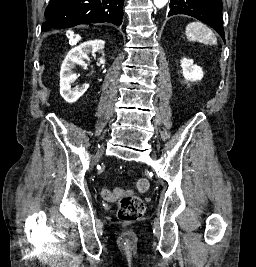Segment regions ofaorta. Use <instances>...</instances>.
<instances>
[{
	"label": "aorta",
	"mask_w": 256,
	"mask_h": 267,
	"mask_svg": "<svg viewBox=\"0 0 256 267\" xmlns=\"http://www.w3.org/2000/svg\"><path fill=\"white\" fill-rule=\"evenodd\" d=\"M167 2L168 0H153L154 6H156V8H159V10H161V8H164Z\"/></svg>",
	"instance_id": "obj_1"
}]
</instances>
